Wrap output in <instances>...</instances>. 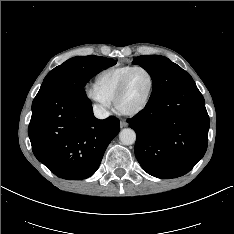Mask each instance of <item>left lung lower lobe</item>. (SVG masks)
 <instances>
[{
	"label": "left lung lower lobe",
	"instance_id": "left-lung-lower-lobe-1",
	"mask_svg": "<svg viewBox=\"0 0 234 234\" xmlns=\"http://www.w3.org/2000/svg\"><path fill=\"white\" fill-rule=\"evenodd\" d=\"M135 130V156L148 174L162 179L185 175L204 156L209 116L193 80L186 81L127 120Z\"/></svg>",
	"mask_w": 234,
	"mask_h": 234
}]
</instances>
